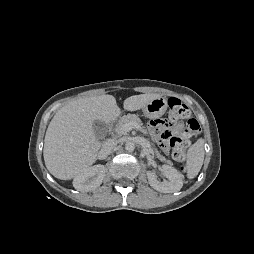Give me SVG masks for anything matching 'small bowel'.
<instances>
[{
    "instance_id": "c3829d8e",
    "label": "small bowel",
    "mask_w": 254,
    "mask_h": 254,
    "mask_svg": "<svg viewBox=\"0 0 254 254\" xmlns=\"http://www.w3.org/2000/svg\"><path fill=\"white\" fill-rule=\"evenodd\" d=\"M171 126L169 122H167L165 119L164 120H155L150 123V128L152 129V134L153 137L160 142L162 147L165 148V145L161 142V132L163 129Z\"/></svg>"
}]
</instances>
